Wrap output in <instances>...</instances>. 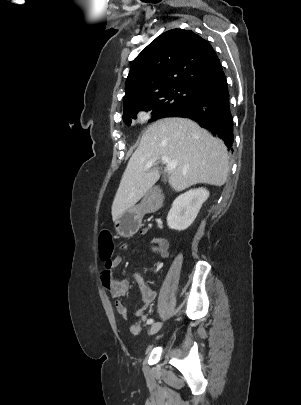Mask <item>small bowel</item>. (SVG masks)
Segmentation results:
<instances>
[{"label":"small bowel","instance_id":"small-bowel-1","mask_svg":"<svg viewBox=\"0 0 301 405\" xmlns=\"http://www.w3.org/2000/svg\"><path fill=\"white\" fill-rule=\"evenodd\" d=\"M148 228H142L140 230L141 235L147 234ZM152 250L159 255L160 258L165 259L169 256V246L166 239L162 237H154L151 241ZM128 245H122V249H127ZM122 262L120 256L112 258L109 264H106L105 268L101 271L100 279L102 285L109 291L111 296L115 298V308L117 312L124 318L128 317V308L123 302V298L126 296L130 288L129 281L126 278H116L113 275V269L119 266ZM134 279L137 282L143 298L144 306L142 310H146L151 306L156 298V291L150 288L142 278L140 274H135ZM149 320V319H148ZM146 320V323L147 321ZM136 330V329H135Z\"/></svg>","mask_w":301,"mask_h":405}]
</instances>
